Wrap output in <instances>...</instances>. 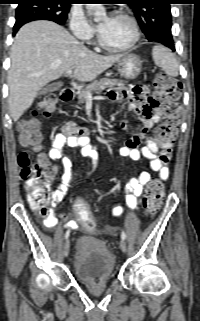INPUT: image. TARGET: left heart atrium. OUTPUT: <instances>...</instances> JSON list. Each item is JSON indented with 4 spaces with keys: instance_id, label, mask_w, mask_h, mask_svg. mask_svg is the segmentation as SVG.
<instances>
[{
    "instance_id": "39dd6f15",
    "label": "left heart atrium",
    "mask_w": 200,
    "mask_h": 321,
    "mask_svg": "<svg viewBox=\"0 0 200 321\" xmlns=\"http://www.w3.org/2000/svg\"><path fill=\"white\" fill-rule=\"evenodd\" d=\"M110 18H111V17H107L106 20H104L103 22H101V23L98 25L99 31H102V30L106 27V25H107L108 21L110 20Z\"/></svg>"
}]
</instances>
